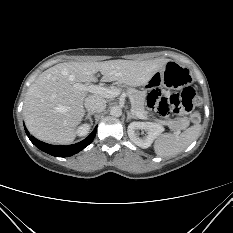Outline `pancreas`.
Wrapping results in <instances>:
<instances>
[{
    "mask_svg": "<svg viewBox=\"0 0 233 233\" xmlns=\"http://www.w3.org/2000/svg\"><path fill=\"white\" fill-rule=\"evenodd\" d=\"M122 88L123 86L121 87V89ZM126 91L131 100L132 110L134 112H140L144 118H147L149 113L145 110L144 107L145 93L138 91L134 88H127ZM188 124L189 122L186 118L169 122V125L176 130L185 129L188 126Z\"/></svg>",
    "mask_w": 233,
    "mask_h": 233,
    "instance_id": "pancreas-1",
    "label": "pancreas"
}]
</instances>
